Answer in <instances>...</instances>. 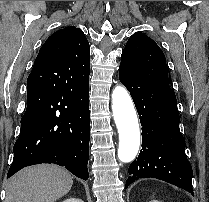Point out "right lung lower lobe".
Returning a JSON list of instances; mask_svg holds the SVG:
<instances>
[{
    "label": "right lung lower lobe",
    "mask_w": 209,
    "mask_h": 202,
    "mask_svg": "<svg viewBox=\"0 0 209 202\" xmlns=\"http://www.w3.org/2000/svg\"><path fill=\"white\" fill-rule=\"evenodd\" d=\"M56 72L50 62L34 63L7 177L40 163L64 166L84 180L89 177V82L77 85Z\"/></svg>",
    "instance_id": "1"
}]
</instances>
